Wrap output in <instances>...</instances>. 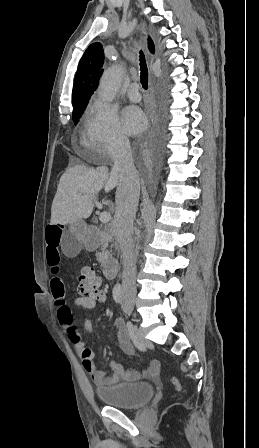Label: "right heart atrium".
<instances>
[{
    "mask_svg": "<svg viewBox=\"0 0 259 448\" xmlns=\"http://www.w3.org/2000/svg\"><path fill=\"white\" fill-rule=\"evenodd\" d=\"M94 119L87 133V144L97 157H117L128 147V138L114 109L98 97H93Z\"/></svg>",
    "mask_w": 259,
    "mask_h": 448,
    "instance_id": "right-heart-atrium-1",
    "label": "right heart atrium"
}]
</instances>
